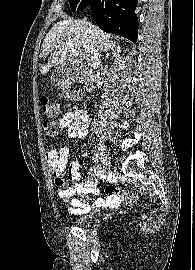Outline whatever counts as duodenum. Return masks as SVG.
Instances as JSON below:
<instances>
[{"label":"duodenum","mask_w":195,"mask_h":270,"mask_svg":"<svg viewBox=\"0 0 195 270\" xmlns=\"http://www.w3.org/2000/svg\"><path fill=\"white\" fill-rule=\"evenodd\" d=\"M82 78L85 83V87L87 91L92 90L94 83V76L89 70H84L82 73Z\"/></svg>","instance_id":"duodenum-1"}]
</instances>
